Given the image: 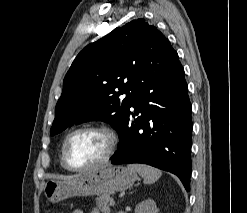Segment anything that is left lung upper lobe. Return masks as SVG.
Listing matches in <instances>:
<instances>
[{
  "mask_svg": "<svg viewBox=\"0 0 247 213\" xmlns=\"http://www.w3.org/2000/svg\"><path fill=\"white\" fill-rule=\"evenodd\" d=\"M173 51L168 39L144 19L86 46L64 78L51 135L91 120L109 123L119 133L146 75Z\"/></svg>",
  "mask_w": 247,
  "mask_h": 213,
  "instance_id": "left-lung-upper-lobe-1",
  "label": "left lung upper lobe"
}]
</instances>
